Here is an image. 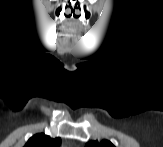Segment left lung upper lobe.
Returning a JSON list of instances; mask_svg holds the SVG:
<instances>
[{"label":"left lung upper lobe","instance_id":"1","mask_svg":"<svg viewBox=\"0 0 163 147\" xmlns=\"http://www.w3.org/2000/svg\"><path fill=\"white\" fill-rule=\"evenodd\" d=\"M86 147H115L110 141L103 140L100 143L98 141H91L86 144Z\"/></svg>","mask_w":163,"mask_h":147}]
</instances>
